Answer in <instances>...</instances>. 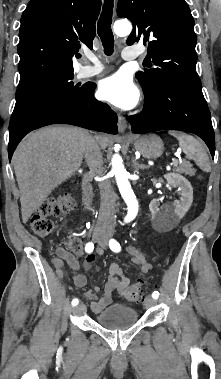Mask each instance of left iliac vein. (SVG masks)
I'll list each match as a JSON object with an SVG mask.
<instances>
[{"label":"left iliac vein","mask_w":221,"mask_h":379,"mask_svg":"<svg viewBox=\"0 0 221 379\" xmlns=\"http://www.w3.org/2000/svg\"><path fill=\"white\" fill-rule=\"evenodd\" d=\"M100 246H101L102 248H106V247L108 246L107 241L104 240V241L100 242ZM155 303H156V300H155L153 297L148 296V297H146V299H145V301H144V306H145L146 308H150V307H152Z\"/></svg>","instance_id":"1"}]
</instances>
